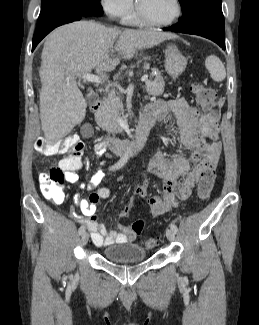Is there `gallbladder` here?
<instances>
[{
    "label": "gallbladder",
    "instance_id": "obj_1",
    "mask_svg": "<svg viewBox=\"0 0 259 325\" xmlns=\"http://www.w3.org/2000/svg\"><path fill=\"white\" fill-rule=\"evenodd\" d=\"M96 101V96L95 95H87L86 96V102L88 104H93ZM83 138L84 139H93L94 138V133L92 131V126L91 122H86V125L83 126Z\"/></svg>",
    "mask_w": 259,
    "mask_h": 325
}]
</instances>
